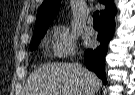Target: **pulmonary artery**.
Returning a JSON list of instances; mask_svg holds the SVG:
<instances>
[{
	"mask_svg": "<svg viewBox=\"0 0 135 95\" xmlns=\"http://www.w3.org/2000/svg\"><path fill=\"white\" fill-rule=\"evenodd\" d=\"M85 31H86L87 33L92 34V33L94 32V28H93V26H92L91 24L88 23V24L85 26Z\"/></svg>",
	"mask_w": 135,
	"mask_h": 95,
	"instance_id": "1",
	"label": "pulmonary artery"
}]
</instances>
